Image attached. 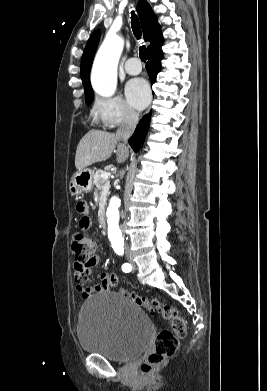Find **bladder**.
<instances>
[{
	"label": "bladder",
	"mask_w": 267,
	"mask_h": 391,
	"mask_svg": "<svg viewBox=\"0 0 267 391\" xmlns=\"http://www.w3.org/2000/svg\"><path fill=\"white\" fill-rule=\"evenodd\" d=\"M152 334L146 313L117 292L94 295L80 308L77 336L84 352L127 361L143 352Z\"/></svg>",
	"instance_id": "1"
}]
</instances>
